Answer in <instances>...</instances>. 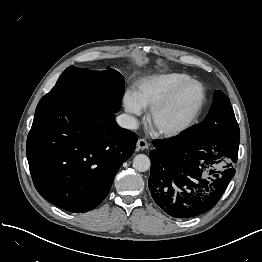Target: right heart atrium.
Wrapping results in <instances>:
<instances>
[{
	"mask_svg": "<svg viewBox=\"0 0 262 262\" xmlns=\"http://www.w3.org/2000/svg\"><path fill=\"white\" fill-rule=\"evenodd\" d=\"M126 111L132 115H139L142 112V107L137 102L134 94L127 92L123 99Z\"/></svg>",
	"mask_w": 262,
	"mask_h": 262,
	"instance_id": "obj_1",
	"label": "right heart atrium"
}]
</instances>
